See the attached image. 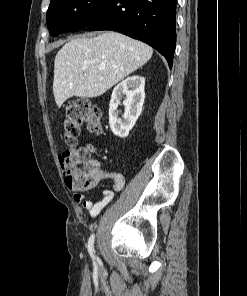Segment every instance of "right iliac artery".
<instances>
[{
    "mask_svg": "<svg viewBox=\"0 0 247 296\" xmlns=\"http://www.w3.org/2000/svg\"><path fill=\"white\" fill-rule=\"evenodd\" d=\"M94 234L91 235V237L89 238V241H88V251H89V254L90 256L94 259L95 256H94Z\"/></svg>",
    "mask_w": 247,
    "mask_h": 296,
    "instance_id": "obj_1",
    "label": "right iliac artery"
}]
</instances>
